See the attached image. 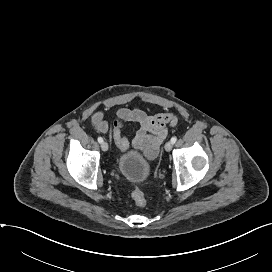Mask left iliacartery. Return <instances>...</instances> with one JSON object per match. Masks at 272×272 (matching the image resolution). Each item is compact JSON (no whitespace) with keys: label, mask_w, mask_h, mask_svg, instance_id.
I'll use <instances>...</instances> for the list:
<instances>
[{"label":"left iliac artery","mask_w":272,"mask_h":272,"mask_svg":"<svg viewBox=\"0 0 272 272\" xmlns=\"http://www.w3.org/2000/svg\"><path fill=\"white\" fill-rule=\"evenodd\" d=\"M176 141H177V137L173 136V137L171 138V143L174 144Z\"/></svg>","instance_id":"obj_1"}]
</instances>
